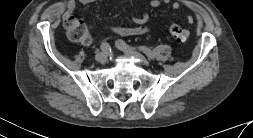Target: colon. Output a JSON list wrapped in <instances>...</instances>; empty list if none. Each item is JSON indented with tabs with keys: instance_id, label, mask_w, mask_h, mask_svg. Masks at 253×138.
<instances>
[{
	"instance_id": "colon-1",
	"label": "colon",
	"mask_w": 253,
	"mask_h": 138,
	"mask_svg": "<svg viewBox=\"0 0 253 138\" xmlns=\"http://www.w3.org/2000/svg\"><path fill=\"white\" fill-rule=\"evenodd\" d=\"M65 28L68 36L75 42L87 44L90 42V33L85 21L69 17L65 19ZM170 34L178 41L185 42L188 39V31L180 25L172 24L169 27Z\"/></svg>"
}]
</instances>
